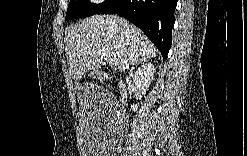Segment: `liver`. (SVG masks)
Segmentation results:
<instances>
[{
  "label": "liver",
  "mask_w": 247,
  "mask_h": 156,
  "mask_svg": "<svg viewBox=\"0 0 247 156\" xmlns=\"http://www.w3.org/2000/svg\"><path fill=\"white\" fill-rule=\"evenodd\" d=\"M65 51L70 76L76 81L89 70L101 68L109 58L124 71L157 54L139 28L116 15H95L68 27Z\"/></svg>",
  "instance_id": "liver-1"
}]
</instances>
